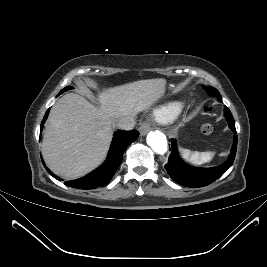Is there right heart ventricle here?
<instances>
[{
    "mask_svg": "<svg viewBox=\"0 0 267 267\" xmlns=\"http://www.w3.org/2000/svg\"><path fill=\"white\" fill-rule=\"evenodd\" d=\"M182 104L180 102H171L156 108L153 112L156 120L167 123L173 120L181 111Z\"/></svg>",
    "mask_w": 267,
    "mask_h": 267,
    "instance_id": "obj_1",
    "label": "right heart ventricle"
}]
</instances>
